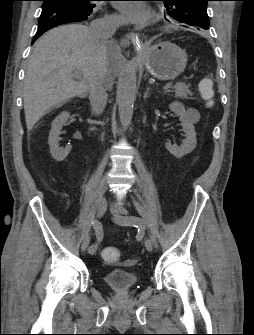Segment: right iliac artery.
Masks as SVG:
<instances>
[{"mask_svg": "<svg viewBox=\"0 0 254 335\" xmlns=\"http://www.w3.org/2000/svg\"><path fill=\"white\" fill-rule=\"evenodd\" d=\"M91 223L93 225V229H94L95 234H96V242L89 247L88 252L91 255H93V254H95L97 252L98 245L102 241V238H103V226H102V224L100 222L95 221V220H92Z\"/></svg>", "mask_w": 254, "mask_h": 335, "instance_id": "82829eb1", "label": "right iliac artery"}]
</instances>
